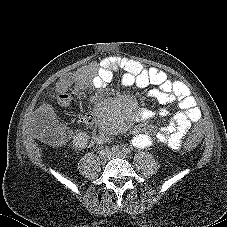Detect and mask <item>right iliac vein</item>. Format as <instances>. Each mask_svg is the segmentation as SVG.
<instances>
[{
	"instance_id": "obj_1",
	"label": "right iliac vein",
	"mask_w": 227,
	"mask_h": 227,
	"mask_svg": "<svg viewBox=\"0 0 227 227\" xmlns=\"http://www.w3.org/2000/svg\"><path fill=\"white\" fill-rule=\"evenodd\" d=\"M110 154H111V152L109 149H103V150H101L99 156H100L101 160L106 161L110 157Z\"/></svg>"
}]
</instances>
